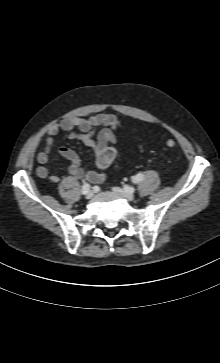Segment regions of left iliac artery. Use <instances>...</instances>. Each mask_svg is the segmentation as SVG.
I'll return each mask as SVG.
<instances>
[{"instance_id": "left-iliac-artery-1", "label": "left iliac artery", "mask_w": 220, "mask_h": 363, "mask_svg": "<svg viewBox=\"0 0 220 363\" xmlns=\"http://www.w3.org/2000/svg\"><path fill=\"white\" fill-rule=\"evenodd\" d=\"M143 178H144L143 174L142 173H138L137 175H135V176L132 177V182L133 183H139L140 181L143 180ZM126 189H128V188L126 187Z\"/></svg>"}]
</instances>
